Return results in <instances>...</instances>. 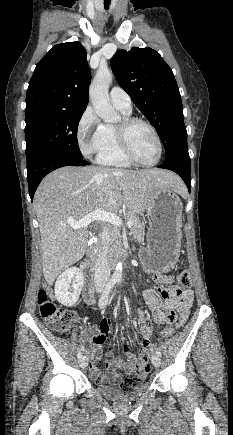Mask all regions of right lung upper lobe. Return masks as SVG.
<instances>
[{"label":"right lung upper lobe","mask_w":233,"mask_h":435,"mask_svg":"<svg viewBox=\"0 0 233 435\" xmlns=\"http://www.w3.org/2000/svg\"><path fill=\"white\" fill-rule=\"evenodd\" d=\"M79 42L55 45L36 65L26 96V116L53 111H85L91 80Z\"/></svg>","instance_id":"1"}]
</instances>
